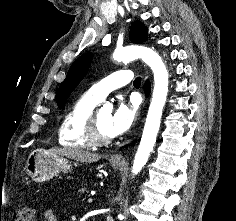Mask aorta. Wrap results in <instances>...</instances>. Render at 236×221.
I'll return each mask as SVG.
<instances>
[{
  "label": "aorta",
  "mask_w": 236,
  "mask_h": 221,
  "mask_svg": "<svg viewBox=\"0 0 236 221\" xmlns=\"http://www.w3.org/2000/svg\"><path fill=\"white\" fill-rule=\"evenodd\" d=\"M113 58L118 62L132 61L141 58L152 69L154 74L152 100L141 142L132 166V173L137 175L146 164L156 142L162 110L168 93V72L159 54L148 47L138 45L127 46L115 51ZM112 109L113 107L110 103H105L100 109V114H110Z\"/></svg>",
  "instance_id": "obj_1"
}]
</instances>
